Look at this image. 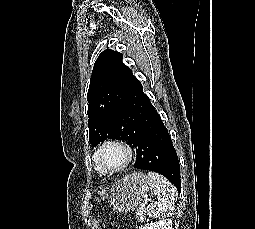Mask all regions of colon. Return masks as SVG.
I'll return each mask as SVG.
<instances>
[{
    "instance_id": "colon-1",
    "label": "colon",
    "mask_w": 255,
    "mask_h": 229,
    "mask_svg": "<svg viewBox=\"0 0 255 229\" xmlns=\"http://www.w3.org/2000/svg\"><path fill=\"white\" fill-rule=\"evenodd\" d=\"M106 229H118L114 224L110 223L106 225Z\"/></svg>"
}]
</instances>
